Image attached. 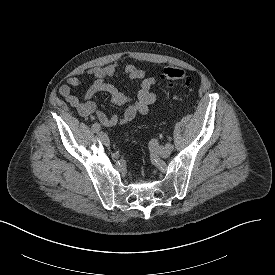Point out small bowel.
<instances>
[{
    "label": "small bowel",
    "instance_id": "c3829d8e",
    "mask_svg": "<svg viewBox=\"0 0 275 275\" xmlns=\"http://www.w3.org/2000/svg\"><path fill=\"white\" fill-rule=\"evenodd\" d=\"M119 74L125 75L139 83L136 99L133 100L129 95L119 91L115 85L107 81L108 78ZM84 75L93 78L94 81L87 89L83 99H79L71 93L72 87H78L83 84V78L69 77L66 80V84L59 88V94L77 110L81 117L96 120L97 123L105 127H113L130 123L137 114L148 115L154 112L152 105L159 100L158 95L152 92L156 79L153 76H149L141 68L135 65H126L120 69L117 63H111L106 66L89 68L84 72ZM100 92H107L114 105L119 107L126 106L121 116L116 113L108 116L96 106L92 98Z\"/></svg>",
    "mask_w": 275,
    "mask_h": 275
}]
</instances>
